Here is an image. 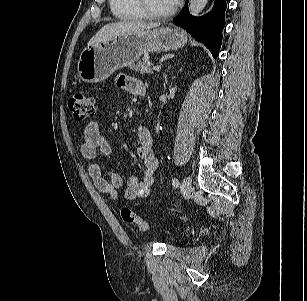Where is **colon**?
Segmentation results:
<instances>
[{"label":"colon","mask_w":307,"mask_h":301,"mask_svg":"<svg viewBox=\"0 0 307 301\" xmlns=\"http://www.w3.org/2000/svg\"><path fill=\"white\" fill-rule=\"evenodd\" d=\"M68 106L74 119L78 122H84L94 115L96 102L92 96L82 92H76L69 98ZM121 217L126 224L135 226L140 231H148L150 229L149 223L130 209H122Z\"/></svg>","instance_id":"1"}]
</instances>
